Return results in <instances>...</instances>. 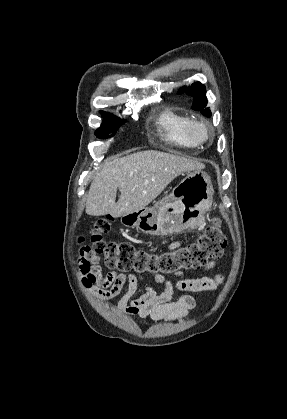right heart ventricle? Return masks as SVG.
Masks as SVG:
<instances>
[{
    "label": "right heart ventricle",
    "instance_id": "right-heart-ventricle-1",
    "mask_svg": "<svg viewBox=\"0 0 287 419\" xmlns=\"http://www.w3.org/2000/svg\"><path fill=\"white\" fill-rule=\"evenodd\" d=\"M189 120L186 115L172 108L163 109L156 118V128L159 137L173 146L184 148L197 146L189 139L186 133V126Z\"/></svg>",
    "mask_w": 287,
    "mask_h": 419
}]
</instances>
